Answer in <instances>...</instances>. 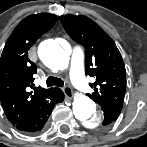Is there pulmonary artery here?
<instances>
[{"instance_id":"1","label":"pulmonary artery","mask_w":147,"mask_h":147,"mask_svg":"<svg viewBox=\"0 0 147 147\" xmlns=\"http://www.w3.org/2000/svg\"><path fill=\"white\" fill-rule=\"evenodd\" d=\"M82 66H83L82 53L80 50L75 49L73 51L72 59H71L70 75H71L72 83L80 91H84L87 88Z\"/></svg>"}]
</instances>
